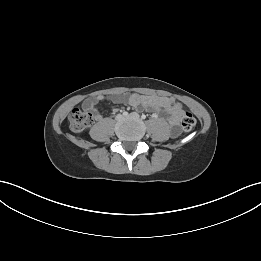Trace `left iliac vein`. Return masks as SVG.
Segmentation results:
<instances>
[{"label": "left iliac vein", "instance_id": "obj_1", "mask_svg": "<svg viewBox=\"0 0 261 261\" xmlns=\"http://www.w3.org/2000/svg\"><path fill=\"white\" fill-rule=\"evenodd\" d=\"M126 117L133 118V119H139L140 118L139 114L136 113V112H133V113H131L130 115H128Z\"/></svg>", "mask_w": 261, "mask_h": 261}]
</instances>
